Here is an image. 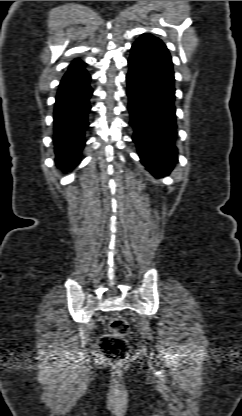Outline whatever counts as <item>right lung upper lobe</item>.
I'll return each mask as SVG.
<instances>
[{"mask_svg":"<svg viewBox=\"0 0 242 416\" xmlns=\"http://www.w3.org/2000/svg\"><path fill=\"white\" fill-rule=\"evenodd\" d=\"M85 63L81 62L79 59H76L70 65V69L74 72H79V70H84Z\"/></svg>","mask_w":242,"mask_h":416,"instance_id":"cb5924a9","label":"right lung upper lobe"}]
</instances>
